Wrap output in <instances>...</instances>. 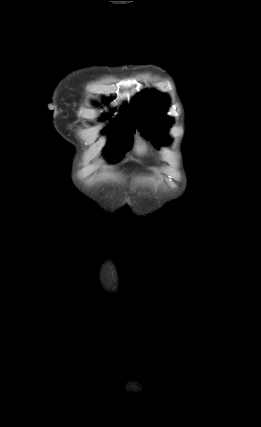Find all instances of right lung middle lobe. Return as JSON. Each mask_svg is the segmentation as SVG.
<instances>
[{"mask_svg":"<svg viewBox=\"0 0 261 427\" xmlns=\"http://www.w3.org/2000/svg\"><path fill=\"white\" fill-rule=\"evenodd\" d=\"M110 139L106 148L107 156L112 161H117L123 157L132 146L135 127L129 123H112L109 127Z\"/></svg>","mask_w":261,"mask_h":427,"instance_id":"dd1d6c3e","label":"right lung middle lobe"}]
</instances>
